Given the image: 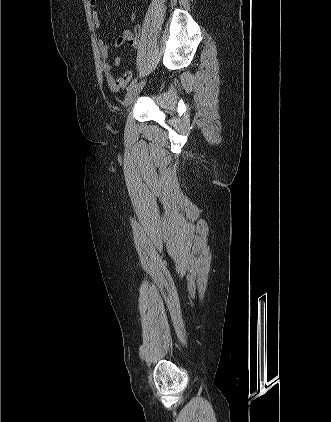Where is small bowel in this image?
Masks as SVG:
<instances>
[{
    "mask_svg": "<svg viewBox=\"0 0 331 422\" xmlns=\"http://www.w3.org/2000/svg\"><path fill=\"white\" fill-rule=\"evenodd\" d=\"M97 3L98 0H89V4L91 7H96ZM91 17L94 23V27L96 29H99L101 24L98 12L96 10H93L91 12ZM139 34V27H135L134 30L125 28L122 32V35L116 39L115 46L120 47L123 44L128 43L134 49H139ZM97 46L102 59L103 75L107 84L113 91L118 92L122 90L132 80V73L130 71H125L119 77L114 76L113 67L118 66L121 62V59L119 57H114L111 62L109 61V46L103 39H99L97 41Z\"/></svg>",
    "mask_w": 331,
    "mask_h": 422,
    "instance_id": "1",
    "label": "small bowel"
}]
</instances>
